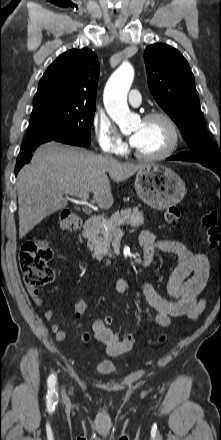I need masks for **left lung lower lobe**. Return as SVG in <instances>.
Returning a JSON list of instances; mask_svg holds the SVG:
<instances>
[{
	"mask_svg": "<svg viewBox=\"0 0 221 440\" xmlns=\"http://www.w3.org/2000/svg\"><path fill=\"white\" fill-rule=\"evenodd\" d=\"M168 160H183L184 161V159L182 157H180L179 155H177L175 157H170V158H168ZM213 171H215L221 178V169H215Z\"/></svg>",
	"mask_w": 221,
	"mask_h": 440,
	"instance_id": "1",
	"label": "left lung lower lobe"
}]
</instances>
